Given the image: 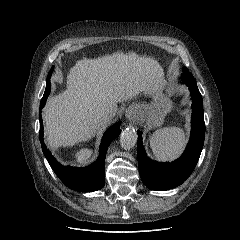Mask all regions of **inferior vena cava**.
I'll return each mask as SVG.
<instances>
[{"label": "inferior vena cava", "instance_id": "obj_1", "mask_svg": "<svg viewBox=\"0 0 240 240\" xmlns=\"http://www.w3.org/2000/svg\"><path fill=\"white\" fill-rule=\"evenodd\" d=\"M112 118V113L105 109H100L97 113V122L100 125L108 123Z\"/></svg>", "mask_w": 240, "mask_h": 240}]
</instances>
